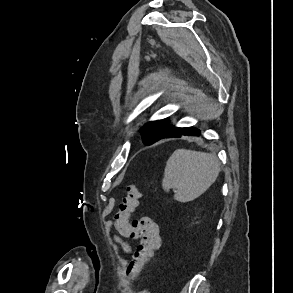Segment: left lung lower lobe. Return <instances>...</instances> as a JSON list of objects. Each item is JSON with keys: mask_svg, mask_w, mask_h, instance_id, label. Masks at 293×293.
Instances as JSON below:
<instances>
[{"mask_svg": "<svg viewBox=\"0 0 293 293\" xmlns=\"http://www.w3.org/2000/svg\"><path fill=\"white\" fill-rule=\"evenodd\" d=\"M182 135L198 136V135H200V131L196 128H193V127H188V128L176 127L172 131L167 133L164 138L181 137Z\"/></svg>", "mask_w": 293, "mask_h": 293, "instance_id": "0a47b994", "label": "left lung lower lobe"}]
</instances>
